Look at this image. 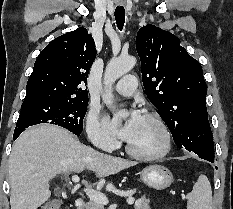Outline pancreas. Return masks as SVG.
Listing matches in <instances>:
<instances>
[{
  "label": "pancreas",
  "mask_w": 233,
  "mask_h": 209,
  "mask_svg": "<svg viewBox=\"0 0 233 209\" xmlns=\"http://www.w3.org/2000/svg\"><path fill=\"white\" fill-rule=\"evenodd\" d=\"M150 200L145 196H142L139 201L134 205L135 209H150L149 207ZM85 209H104V205L98 204L93 200H90L85 204Z\"/></svg>",
  "instance_id": "1"
}]
</instances>
